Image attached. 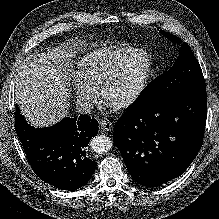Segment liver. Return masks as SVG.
<instances>
[{"instance_id":"1","label":"liver","mask_w":219,"mask_h":219,"mask_svg":"<svg viewBox=\"0 0 219 219\" xmlns=\"http://www.w3.org/2000/svg\"><path fill=\"white\" fill-rule=\"evenodd\" d=\"M63 54L28 55L15 78V98L25 119L34 127H48L68 113L67 63Z\"/></svg>"}]
</instances>
